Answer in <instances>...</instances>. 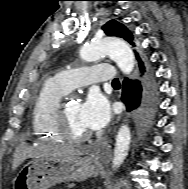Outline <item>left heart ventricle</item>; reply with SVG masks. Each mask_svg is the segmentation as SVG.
<instances>
[{"label": "left heart ventricle", "instance_id": "obj_1", "mask_svg": "<svg viewBox=\"0 0 188 189\" xmlns=\"http://www.w3.org/2000/svg\"><path fill=\"white\" fill-rule=\"evenodd\" d=\"M66 109L70 131L73 134H82L88 132V129L81 121V104L78 102H70L66 104Z\"/></svg>", "mask_w": 188, "mask_h": 189}]
</instances>
